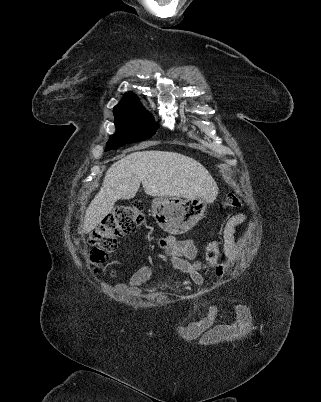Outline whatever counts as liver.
<instances>
[{
  "label": "liver",
  "instance_id": "liver-1",
  "mask_svg": "<svg viewBox=\"0 0 321 402\" xmlns=\"http://www.w3.org/2000/svg\"><path fill=\"white\" fill-rule=\"evenodd\" d=\"M141 183L150 196L204 197L211 202L218 194L215 180L195 159L168 151H135L107 170L100 191L86 210L83 232L94 230L117 200L133 198Z\"/></svg>",
  "mask_w": 321,
  "mask_h": 402
}]
</instances>
